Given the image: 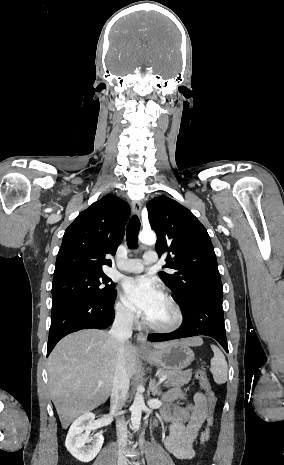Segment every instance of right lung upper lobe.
<instances>
[{
  "instance_id": "right-lung-upper-lobe-1",
  "label": "right lung upper lobe",
  "mask_w": 284,
  "mask_h": 465,
  "mask_svg": "<svg viewBox=\"0 0 284 465\" xmlns=\"http://www.w3.org/2000/svg\"><path fill=\"white\" fill-rule=\"evenodd\" d=\"M129 216L128 203L113 194L82 211L64 233L53 280L73 274L104 273L102 266H111V260L105 257L115 254Z\"/></svg>"
}]
</instances>
